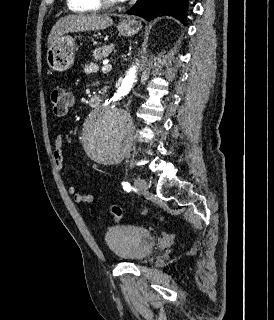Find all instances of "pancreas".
<instances>
[{
	"label": "pancreas",
	"instance_id": "1",
	"mask_svg": "<svg viewBox=\"0 0 274 320\" xmlns=\"http://www.w3.org/2000/svg\"><path fill=\"white\" fill-rule=\"evenodd\" d=\"M112 50L113 46H102V48H95V50H93L94 62H98V60H103V58H108Z\"/></svg>",
	"mask_w": 274,
	"mask_h": 320
}]
</instances>
